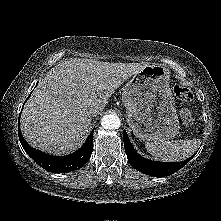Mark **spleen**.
<instances>
[{
    "label": "spleen",
    "mask_w": 221,
    "mask_h": 221,
    "mask_svg": "<svg viewBox=\"0 0 221 221\" xmlns=\"http://www.w3.org/2000/svg\"><path fill=\"white\" fill-rule=\"evenodd\" d=\"M200 146L199 139L146 142L145 148L156 159L182 161L190 157Z\"/></svg>",
    "instance_id": "3e777b00"
}]
</instances>
